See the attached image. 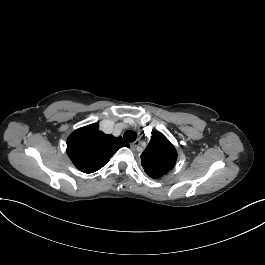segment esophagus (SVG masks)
Instances as JSON below:
<instances>
[{"instance_id": "esophagus-1", "label": "esophagus", "mask_w": 265, "mask_h": 265, "mask_svg": "<svg viewBox=\"0 0 265 265\" xmlns=\"http://www.w3.org/2000/svg\"><path fill=\"white\" fill-rule=\"evenodd\" d=\"M139 145H140V140L136 139L133 143L130 144V148L132 151H136Z\"/></svg>"}]
</instances>
